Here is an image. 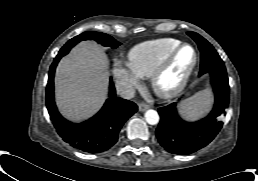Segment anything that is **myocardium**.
<instances>
[{"label":"myocardium","mask_w":258,"mask_h":181,"mask_svg":"<svg viewBox=\"0 0 258 181\" xmlns=\"http://www.w3.org/2000/svg\"><path fill=\"white\" fill-rule=\"evenodd\" d=\"M190 48L193 51V61L184 70L179 80L172 86L166 87L162 84L165 74L173 67L174 62L183 48ZM198 64V53L194 46L189 43H180L174 50H172L155 68L151 75V84L155 93L161 98H172L186 87L192 73Z\"/></svg>","instance_id":"1"}]
</instances>
